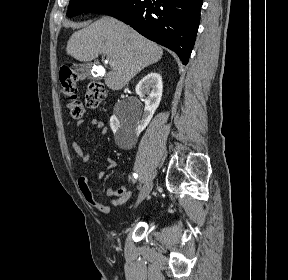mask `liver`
<instances>
[{
  "label": "liver",
  "mask_w": 288,
  "mask_h": 280,
  "mask_svg": "<svg viewBox=\"0 0 288 280\" xmlns=\"http://www.w3.org/2000/svg\"><path fill=\"white\" fill-rule=\"evenodd\" d=\"M66 53L76 60L89 62L100 54L114 61L113 70L104 78L111 90H120L142 69L159 61L163 50L128 25L112 17H102L74 32Z\"/></svg>",
  "instance_id": "1"
}]
</instances>
